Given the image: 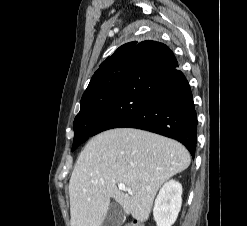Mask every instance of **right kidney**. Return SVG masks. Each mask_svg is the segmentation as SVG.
I'll list each match as a JSON object with an SVG mask.
<instances>
[{
	"instance_id": "ca27d5eb",
	"label": "right kidney",
	"mask_w": 247,
	"mask_h": 226,
	"mask_svg": "<svg viewBox=\"0 0 247 226\" xmlns=\"http://www.w3.org/2000/svg\"><path fill=\"white\" fill-rule=\"evenodd\" d=\"M182 185L170 180L160 189L153 208L157 226H172L177 219L182 204Z\"/></svg>"
}]
</instances>
